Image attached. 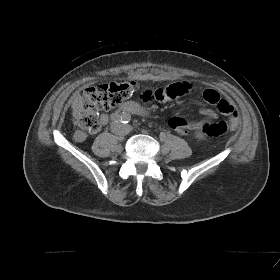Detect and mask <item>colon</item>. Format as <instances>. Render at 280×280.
<instances>
[{"label": "colon", "instance_id": "5ec220e1", "mask_svg": "<svg viewBox=\"0 0 280 280\" xmlns=\"http://www.w3.org/2000/svg\"><path fill=\"white\" fill-rule=\"evenodd\" d=\"M136 89L134 82H110L91 86L83 91V114L78 123L88 131H97L100 126L99 112L110 110L128 99ZM229 124L225 121L207 123L203 131L211 137H219L227 132Z\"/></svg>", "mask_w": 280, "mask_h": 280}]
</instances>
